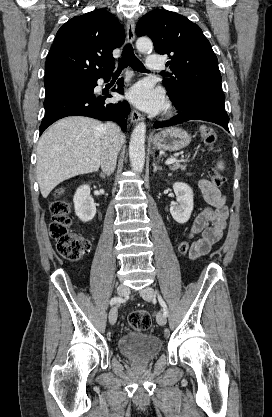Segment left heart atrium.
Here are the masks:
<instances>
[{
	"label": "left heart atrium",
	"mask_w": 272,
	"mask_h": 417,
	"mask_svg": "<svg viewBox=\"0 0 272 417\" xmlns=\"http://www.w3.org/2000/svg\"><path fill=\"white\" fill-rule=\"evenodd\" d=\"M126 98L137 108L151 113L161 111L165 105L163 92L147 81H141L132 86Z\"/></svg>",
	"instance_id": "1"
}]
</instances>
